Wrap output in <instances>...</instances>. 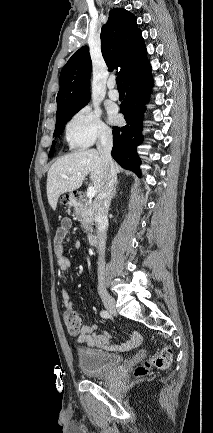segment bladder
<instances>
[{
	"mask_svg": "<svg viewBox=\"0 0 213 433\" xmlns=\"http://www.w3.org/2000/svg\"><path fill=\"white\" fill-rule=\"evenodd\" d=\"M77 359L81 372L89 378H103L115 372L123 362L121 355L93 348L78 349Z\"/></svg>",
	"mask_w": 213,
	"mask_h": 433,
	"instance_id": "bladder-1",
	"label": "bladder"
}]
</instances>
